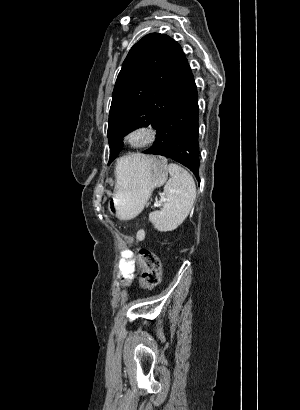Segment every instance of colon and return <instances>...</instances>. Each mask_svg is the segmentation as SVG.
<instances>
[{
  "label": "colon",
  "mask_w": 300,
  "mask_h": 410,
  "mask_svg": "<svg viewBox=\"0 0 300 410\" xmlns=\"http://www.w3.org/2000/svg\"><path fill=\"white\" fill-rule=\"evenodd\" d=\"M137 259L142 271L141 287L152 289L161 281V270L158 256L151 250L140 248L137 251ZM128 281H125L127 283Z\"/></svg>",
  "instance_id": "colon-1"
}]
</instances>
